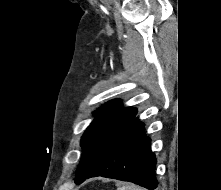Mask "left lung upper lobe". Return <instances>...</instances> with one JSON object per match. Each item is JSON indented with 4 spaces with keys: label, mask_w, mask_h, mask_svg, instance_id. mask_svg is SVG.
Returning a JSON list of instances; mask_svg holds the SVG:
<instances>
[{
    "label": "left lung upper lobe",
    "mask_w": 221,
    "mask_h": 190,
    "mask_svg": "<svg viewBox=\"0 0 221 190\" xmlns=\"http://www.w3.org/2000/svg\"><path fill=\"white\" fill-rule=\"evenodd\" d=\"M94 114L96 118L81 139L83 155L76 171L75 182L90 172L111 141L136 116L137 110L122 107L120 100H112L99 107Z\"/></svg>",
    "instance_id": "obj_1"
}]
</instances>
